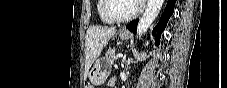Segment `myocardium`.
<instances>
[{"mask_svg": "<svg viewBox=\"0 0 227 88\" xmlns=\"http://www.w3.org/2000/svg\"><path fill=\"white\" fill-rule=\"evenodd\" d=\"M110 3H111V0H104L103 13L111 23L122 24V23L129 22L135 19L143 10V5L137 4L136 9L130 15L123 18H116L112 16V14L110 13Z\"/></svg>", "mask_w": 227, "mask_h": 88, "instance_id": "1", "label": "myocardium"}]
</instances>
